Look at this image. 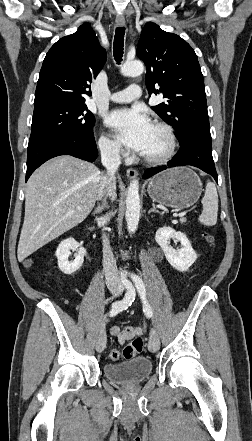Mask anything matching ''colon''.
I'll list each match as a JSON object with an SVG mask.
<instances>
[{"instance_id":"colon-1","label":"colon","mask_w":252,"mask_h":441,"mask_svg":"<svg viewBox=\"0 0 252 441\" xmlns=\"http://www.w3.org/2000/svg\"><path fill=\"white\" fill-rule=\"evenodd\" d=\"M206 239L209 242H212V237L210 235L205 234ZM144 347L143 340L140 336L135 337L127 346H125L122 350L112 349L109 353V358L112 361H118L121 358L129 359L139 354Z\"/></svg>"}]
</instances>
